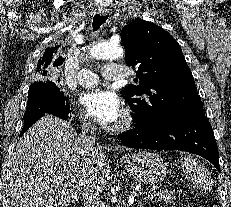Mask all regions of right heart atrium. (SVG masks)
<instances>
[{"label": "right heart atrium", "instance_id": "right-heart-atrium-1", "mask_svg": "<svg viewBox=\"0 0 231 207\" xmlns=\"http://www.w3.org/2000/svg\"><path fill=\"white\" fill-rule=\"evenodd\" d=\"M80 120H81V123L84 127H91L92 126L91 120L84 113H80Z\"/></svg>", "mask_w": 231, "mask_h": 207}]
</instances>
